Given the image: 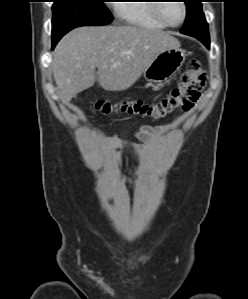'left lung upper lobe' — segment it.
<instances>
[{
    "instance_id": "1",
    "label": "left lung upper lobe",
    "mask_w": 248,
    "mask_h": 299,
    "mask_svg": "<svg viewBox=\"0 0 248 299\" xmlns=\"http://www.w3.org/2000/svg\"><path fill=\"white\" fill-rule=\"evenodd\" d=\"M184 2L187 6V15L180 32L199 39L207 46L209 43V30L202 11L201 0H184Z\"/></svg>"
}]
</instances>
